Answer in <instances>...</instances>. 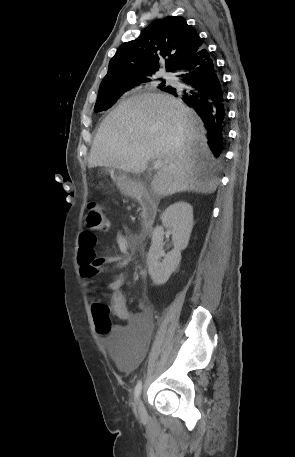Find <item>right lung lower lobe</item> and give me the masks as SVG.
<instances>
[{"label":"right lung lower lobe","mask_w":295,"mask_h":457,"mask_svg":"<svg viewBox=\"0 0 295 457\" xmlns=\"http://www.w3.org/2000/svg\"><path fill=\"white\" fill-rule=\"evenodd\" d=\"M175 71L184 87H167L164 91L180 97L193 107L205 123L209 146L215 156L224 150L225 103L222 81L206 49L200 48L181 62Z\"/></svg>","instance_id":"1"}]
</instances>
